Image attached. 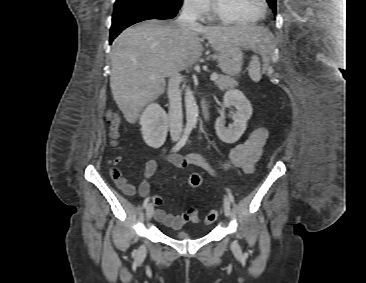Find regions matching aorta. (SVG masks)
I'll return each instance as SVG.
<instances>
[{"mask_svg":"<svg viewBox=\"0 0 366 283\" xmlns=\"http://www.w3.org/2000/svg\"><path fill=\"white\" fill-rule=\"evenodd\" d=\"M185 108L187 126L195 127L198 120V106L193 91L190 88H187L185 91Z\"/></svg>","mask_w":366,"mask_h":283,"instance_id":"obj_1","label":"aorta"}]
</instances>
